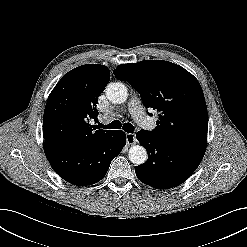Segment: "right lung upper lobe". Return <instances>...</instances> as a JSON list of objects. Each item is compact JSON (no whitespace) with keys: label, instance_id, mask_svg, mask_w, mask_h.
Wrapping results in <instances>:
<instances>
[{"label":"right lung upper lobe","instance_id":"1","mask_svg":"<svg viewBox=\"0 0 247 247\" xmlns=\"http://www.w3.org/2000/svg\"><path fill=\"white\" fill-rule=\"evenodd\" d=\"M110 80L104 65L86 64L66 73L50 93L43 117V137L58 147L81 151L113 132L89 124L97 120L96 104Z\"/></svg>","mask_w":247,"mask_h":247}]
</instances>
